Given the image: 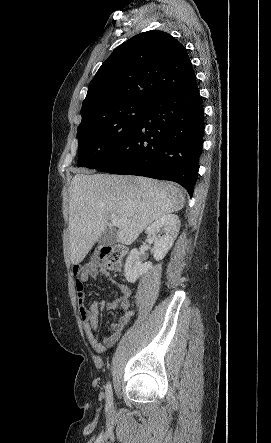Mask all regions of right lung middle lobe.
<instances>
[{
    "label": "right lung middle lobe",
    "instance_id": "right-lung-middle-lobe-1",
    "mask_svg": "<svg viewBox=\"0 0 271 443\" xmlns=\"http://www.w3.org/2000/svg\"><path fill=\"white\" fill-rule=\"evenodd\" d=\"M149 103L125 101L84 119L78 127L77 166L96 169L113 156L137 126Z\"/></svg>",
    "mask_w": 271,
    "mask_h": 443
}]
</instances>
